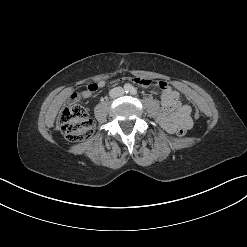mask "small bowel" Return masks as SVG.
Returning <instances> with one entry per match:
<instances>
[{
  "mask_svg": "<svg viewBox=\"0 0 247 247\" xmlns=\"http://www.w3.org/2000/svg\"><path fill=\"white\" fill-rule=\"evenodd\" d=\"M133 81L145 88L153 87L160 93L161 109L157 120L161 127L173 134L178 127L190 129L192 127L191 107L180 100V94L167 82L135 77ZM105 86V81L100 80L87 86L86 90L78 95V98H90L92 94Z\"/></svg>",
  "mask_w": 247,
  "mask_h": 247,
  "instance_id": "1",
  "label": "small bowel"
}]
</instances>
